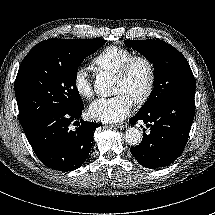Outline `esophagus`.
Here are the masks:
<instances>
[{
    "mask_svg": "<svg viewBox=\"0 0 215 215\" xmlns=\"http://www.w3.org/2000/svg\"><path fill=\"white\" fill-rule=\"evenodd\" d=\"M116 127L117 128H126L127 127V123L126 122L117 123Z\"/></svg>",
    "mask_w": 215,
    "mask_h": 215,
    "instance_id": "1",
    "label": "esophagus"
}]
</instances>
